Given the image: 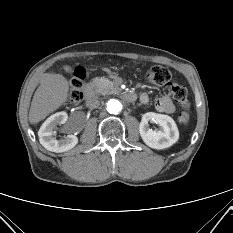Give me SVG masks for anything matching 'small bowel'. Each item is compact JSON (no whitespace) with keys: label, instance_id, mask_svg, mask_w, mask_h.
<instances>
[{"label":"small bowel","instance_id":"obj_1","mask_svg":"<svg viewBox=\"0 0 233 233\" xmlns=\"http://www.w3.org/2000/svg\"><path fill=\"white\" fill-rule=\"evenodd\" d=\"M140 100L142 102H147V100H148L147 94L141 93ZM155 108L159 112L170 114V113H173L175 111L176 106H175L173 100L169 96L162 95L156 99Z\"/></svg>","mask_w":233,"mask_h":233}]
</instances>
